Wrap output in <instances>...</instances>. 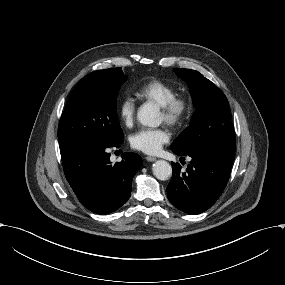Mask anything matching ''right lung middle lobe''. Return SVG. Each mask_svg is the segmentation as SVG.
<instances>
[{
	"mask_svg": "<svg viewBox=\"0 0 285 285\" xmlns=\"http://www.w3.org/2000/svg\"><path fill=\"white\" fill-rule=\"evenodd\" d=\"M127 77L121 68L94 71L76 85L58 127L60 150L85 144L122 143L116 99Z\"/></svg>",
	"mask_w": 285,
	"mask_h": 285,
	"instance_id": "dd1d6c3e",
	"label": "right lung middle lobe"
}]
</instances>
